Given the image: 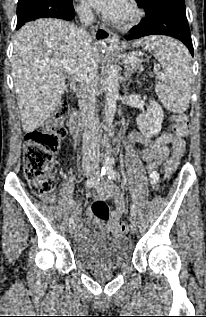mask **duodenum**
Here are the masks:
<instances>
[{
  "instance_id": "duodenum-1",
  "label": "duodenum",
  "mask_w": 206,
  "mask_h": 317,
  "mask_svg": "<svg viewBox=\"0 0 206 317\" xmlns=\"http://www.w3.org/2000/svg\"><path fill=\"white\" fill-rule=\"evenodd\" d=\"M70 129H71L72 136L75 139H79L82 137L83 129H82L81 119L75 111H72V114L70 117Z\"/></svg>"
}]
</instances>
